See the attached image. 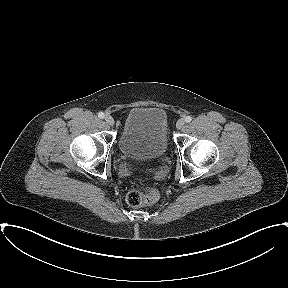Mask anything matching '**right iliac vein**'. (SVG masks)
I'll use <instances>...</instances> for the list:
<instances>
[{
  "mask_svg": "<svg viewBox=\"0 0 288 288\" xmlns=\"http://www.w3.org/2000/svg\"><path fill=\"white\" fill-rule=\"evenodd\" d=\"M105 121H106L107 124H109V125H111V126L114 125V119H113V117H111V116H109V115H107V116L105 117Z\"/></svg>",
  "mask_w": 288,
  "mask_h": 288,
  "instance_id": "obj_1",
  "label": "right iliac vein"
}]
</instances>
